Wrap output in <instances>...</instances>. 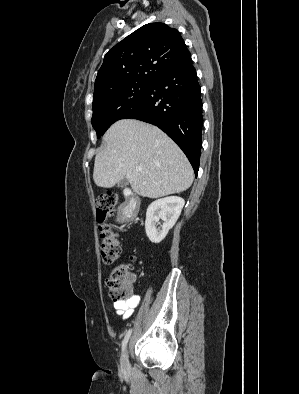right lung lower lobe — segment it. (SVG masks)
<instances>
[{
    "label": "right lung lower lobe",
    "mask_w": 299,
    "mask_h": 394,
    "mask_svg": "<svg viewBox=\"0 0 299 394\" xmlns=\"http://www.w3.org/2000/svg\"><path fill=\"white\" fill-rule=\"evenodd\" d=\"M200 93L188 54L160 74L122 119H138L159 127L182 149L197 175L203 125Z\"/></svg>",
    "instance_id": "obj_1"
}]
</instances>
